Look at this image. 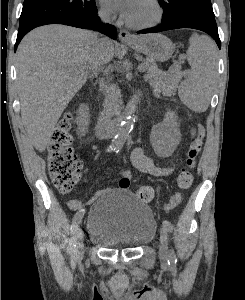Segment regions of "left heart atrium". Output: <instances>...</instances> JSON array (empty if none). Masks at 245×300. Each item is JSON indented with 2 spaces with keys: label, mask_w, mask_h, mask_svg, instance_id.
<instances>
[{
  "label": "left heart atrium",
  "mask_w": 245,
  "mask_h": 300,
  "mask_svg": "<svg viewBox=\"0 0 245 300\" xmlns=\"http://www.w3.org/2000/svg\"><path fill=\"white\" fill-rule=\"evenodd\" d=\"M105 5L114 11L120 12L123 19H127L128 11L134 0H102Z\"/></svg>",
  "instance_id": "39dd6f15"
}]
</instances>
